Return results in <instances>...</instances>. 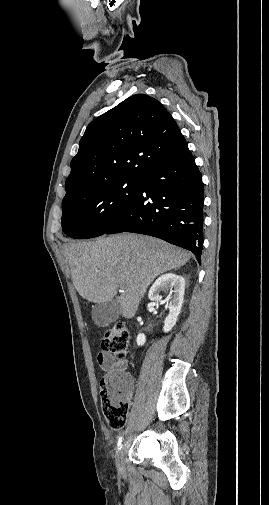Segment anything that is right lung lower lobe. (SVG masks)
I'll return each instance as SVG.
<instances>
[{
  "label": "right lung lower lobe",
  "mask_w": 269,
  "mask_h": 505,
  "mask_svg": "<svg viewBox=\"0 0 269 505\" xmlns=\"http://www.w3.org/2000/svg\"><path fill=\"white\" fill-rule=\"evenodd\" d=\"M202 176L186 146L139 178V190L123 215L105 232H134L193 252L200 262L203 240Z\"/></svg>",
  "instance_id": "1"
}]
</instances>
